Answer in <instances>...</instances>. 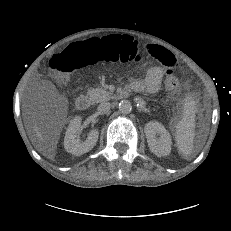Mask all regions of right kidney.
Here are the masks:
<instances>
[{"label":"right kidney","mask_w":231,"mask_h":231,"mask_svg":"<svg viewBox=\"0 0 231 231\" xmlns=\"http://www.w3.org/2000/svg\"><path fill=\"white\" fill-rule=\"evenodd\" d=\"M81 129V117L76 116L70 121L64 138V148L68 153L80 156L89 152L97 143L99 132L93 129L88 133L87 139L81 142L77 138V133Z\"/></svg>","instance_id":"1"}]
</instances>
